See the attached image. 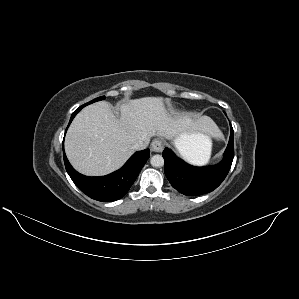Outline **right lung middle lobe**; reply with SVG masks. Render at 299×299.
<instances>
[{
    "label": "right lung middle lobe",
    "mask_w": 299,
    "mask_h": 299,
    "mask_svg": "<svg viewBox=\"0 0 299 299\" xmlns=\"http://www.w3.org/2000/svg\"><path fill=\"white\" fill-rule=\"evenodd\" d=\"M103 99H105V96L98 97V98H96V99H94V100H92V101H90V102L84 104V106L89 105V104H91V103H93V102H96V101L103 100Z\"/></svg>",
    "instance_id": "obj_1"
}]
</instances>
